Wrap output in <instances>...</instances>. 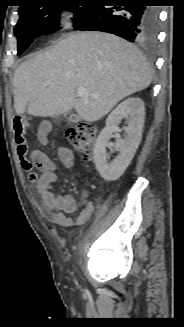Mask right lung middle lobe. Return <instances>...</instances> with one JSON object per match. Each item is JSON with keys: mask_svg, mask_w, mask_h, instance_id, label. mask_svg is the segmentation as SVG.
Segmentation results:
<instances>
[{"mask_svg": "<svg viewBox=\"0 0 184 327\" xmlns=\"http://www.w3.org/2000/svg\"><path fill=\"white\" fill-rule=\"evenodd\" d=\"M43 3L44 1H41L19 11V21L14 28L18 43V56L28 48L36 37L57 31L61 10H71L74 13L76 23H78L94 7L91 4L84 6H48L43 5Z\"/></svg>", "mask_w": 184, "mask_h": 327, "instance_id": "obj_1", "label": "right lung middle lobe"}]
</instances>
